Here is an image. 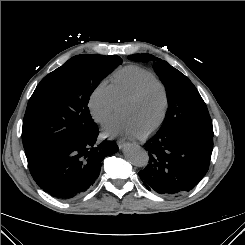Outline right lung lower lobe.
Masks as SVG:
<instances>
[{"label": "right lung lower lobe", "mask_w": 245, "mask_h": 245, "mask_svg": "<svg viewBox=\"0 0 245 245\" xmlns=\"http://www.w3.org/2000/svg\"><path fill=\"white\" fill-rule=\"evenodd\" d=\"M98 127L80 139H68L27 157L37 185L59 199L85 194L97 179L101 160L118 151L113 141L98 144Z\"/></svg>", "instance_id": "right-lung-lower-lobe-1"}]
</instances>
